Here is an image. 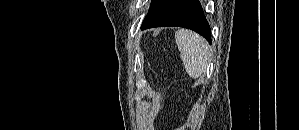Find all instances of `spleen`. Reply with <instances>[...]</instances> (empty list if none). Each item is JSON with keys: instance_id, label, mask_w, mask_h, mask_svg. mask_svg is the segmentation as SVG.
Returning <instances> with one entry per match:
<instances>
[{"instance_id": "spleen-1", "label": "spleen", "mask_w": 299, "mask_h": 130, "mask_svg": "<svg viewBox=\"0 0 299 130\" xmlns=\"http://www.w3.org/2000/svg\"><path fill=\"white\" fill-rule=\"evenodd\" d=\"M175 42L186 72L197 79L205 72L209 61V46L199 34L186 29L175 33Z\"/></svg>"}]
</instances>
